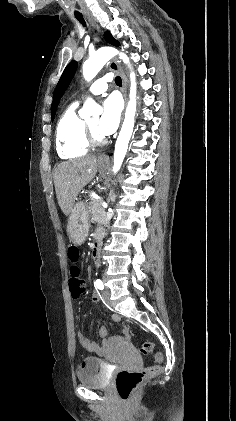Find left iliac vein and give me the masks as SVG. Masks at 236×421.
<instances>
[{
  "label": "left iliac vein",
  "mask_w": 236,
  "mask_h": 421,
  "mask_svg": "<svg viewBox=\"0 0 236 421\" xmlns=\"http://www.w3.org/2000/svg\"><path fill=\"white\" fill-rule=\"evenodd\" d=\"M111 293L109 290H103L102 292V297H103V301L105 303H107L108 305H112V301L110 299Z\"/></svg>",
  "instance_id": "left-iliac-vein-1"
}]
</instances>
